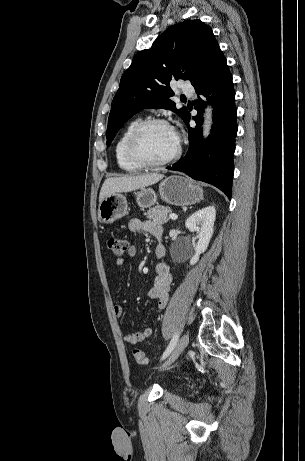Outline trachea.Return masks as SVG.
<instances>
[{"label": "trachea", "mask_w": 305, "mask_h": 461, "mask_svg": "<svg viewBox=\"0 0 305 461\" xmlns=\"http://www.w3.org/2000/svg\"><path fill=\"white\" fill-rule=\"evenodd\" d=\"M185 99H186V97H185V96H182V97H181V100H185Z\"/></svg>", "instance_id": "obj_1"}]
</instances>
